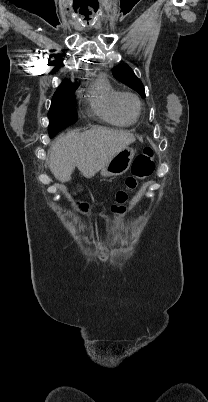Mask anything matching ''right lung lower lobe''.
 Here are the masks:
<instances>
[{"label":"right lung lower lobe","instance_id":"obj_1","mask_svg":"<svg viewBox=\"0 0 208 402\" xmlns=\"http://www.w3.org/2000/svg\"><path fill=\"white\" fill-rule=\"evenodd\" d=\"M66 127H68V126H65L61 122L49 123V127H48L49 136L51 138L54 137L58 132H60L62 129H64Z\"/></svg>","mask_w":208,"mask_h":402}]
</instances>
